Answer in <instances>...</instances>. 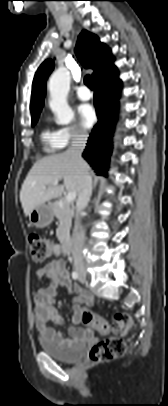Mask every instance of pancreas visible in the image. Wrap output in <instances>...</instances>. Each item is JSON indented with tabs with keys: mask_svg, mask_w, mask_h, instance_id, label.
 <instances>
[{
	"mask_svg": "<svg viewBox=\"0 0 168 406\" xmlns=\"http://www.w3.org/2000/svg\"><path fill=\"white\" fill-rule=\"evenodd\" d=\"M54 215L59 220V226L56 230V235L59 240H63L69 235L74 207L66 200H59L53 207Z\"/></svg>",
	"mask_w": 168,
	"mask_h": 406,
	"instance_id": "cf45deb5",
	"label": "pancreas"
}]
</instances>
